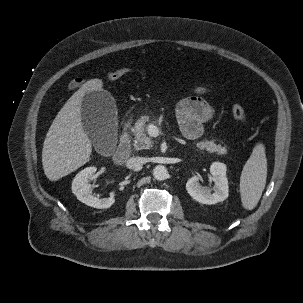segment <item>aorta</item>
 I'll list each match as a JSON object with an SVG mask.
<instances>
[{
  "label": "aorta",
  "mask_w": 303,
  "mask_h": 303,
  "mask_svg": "<svg viewBox=\"0 0 303 303\" xmlns=\"http://www.w3.org/2000/svg\"><path fill=\"white\" fill-rule=\"evenodd\" d=\"M153 176L158 181H163L168 178V170L163 165H157L153 169Z\"/></svg>",
  "instance_id": "aorta-1"
}]
</instances>
